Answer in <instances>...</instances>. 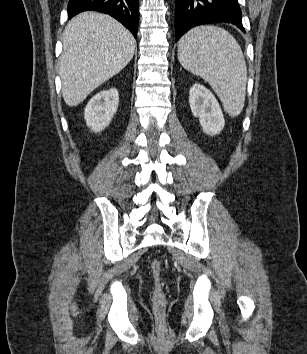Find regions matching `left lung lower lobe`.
I'll return each mask as SVG.
<instances>
[{
    "label": "left lung lower lobe",
    "instance_id": "0a47b994",
    "mask_svg": "<svg viewBox=\"0 0 307 354\" xmlns=\"http://www.w3.org/2000/svg\"><path fill=\"white\" fill-rule=\"evenodd\" d=\"M225 22L245 32L237 0H176V41L192 27Z\"/></svg>",
    "mask_w": 307,
    "mask_h": 354
}]
</instances>
